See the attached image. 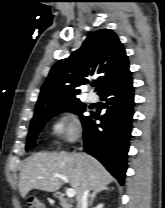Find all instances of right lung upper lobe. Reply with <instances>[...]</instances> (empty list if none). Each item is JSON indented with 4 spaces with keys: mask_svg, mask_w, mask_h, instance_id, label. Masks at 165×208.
<instances>
[{
    "mask_svg": "<svg viewBox=\"0 0 165 208\" xmlns=\"http://www.w3.org/2000/svg\"><path fill=\"white\" fill-rule=\"evenodd\" d=\"M129 72L128 58L117 35L109 29L95 31L79 50L52 67L42 86L35 112L53 104L78 100V86L89 83L88 76H97L100 94Z\"/></svg>",
    "mask_w": 165,
    "mask_h": 208,
    "instance_id": "1",
    "label": "right lung upper lobe"
}]
</instances>
